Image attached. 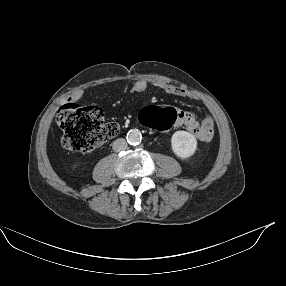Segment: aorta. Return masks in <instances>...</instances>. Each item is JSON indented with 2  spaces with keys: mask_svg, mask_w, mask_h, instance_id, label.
I'll list each match as a JSON object with an SVG mask.
<instances>
[{
  "mask_svg": "<svg viewBox=\"0 0 286 286\" xmlns=\"http://www.w3.org/2000/svg\"><path fill=\"white\" fill-rule=\"evenodd\" d=\"M142 135L139 130L133 129L130 130L127 134V142L130 145H138L141 143Z\"/></svg>",
  "mask_w": 286,
  "mask_h": 286,
  "instance_id": "aorta-1",
  "label": "aorta"
}]
</instances>
